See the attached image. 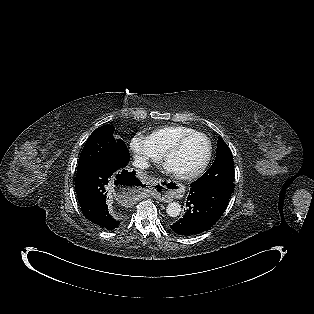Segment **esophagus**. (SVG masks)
Here are the masks:
<instances>
[{"mask_svg": "<svg viewBox=\"0 0 314 314\" xmlns=\"http://www.w3.org/2000/svg\"><path fill=\"white\" fill-rule=\"evenodd\" d=\"M177 186L179 187L178 189L166 191L165 197H162V198L159 197V199L161 201L168 203V202L172 201V198H176V199L182 198V196H183L182 192L184 191V188L180 184H178ZM165 188H167V186ZM155 195H157V193H155Z\"/></svg>", "mask_w": 314, "mask_h": 314, "instance_id": "esophagus-1", "label": "esophagus"}]
</instances>
